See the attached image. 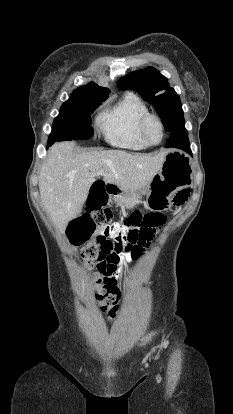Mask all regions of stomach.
Instances as JSON below:
<instances>
[{"instance_id":"stomach-1","label":"stomach","mask_w":233,"mask_h":414,"mask_svg":"<svg viewBox=\"0 0 233 414\" xmlns=\"http://www.w3.org/2000/svg\"><path fill=\"white\" fill-rule=\"evenodd\" d=\"M192 177L191 158L182 151H168L160 171L153 174L154 180L146 188L148 206L166 208L173 195L191 183ZM115 195L126 197L128 193L116 185Z\"/></svg>"}]
</instances>
